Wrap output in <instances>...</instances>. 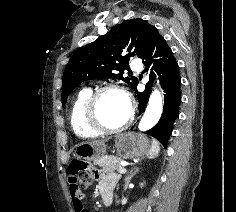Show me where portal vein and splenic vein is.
<instances>
[{
  "label": "portal vein and splenic vein",
  "mask_w": 236,
  "mask_h": 212,
  "mask_svg": "<svg viewBox=\"0 0 236 212\" xmlns=\"http://www.w3.org/2000/svg\"><path fill=\"white\" fill-rule=\"evenodd\" d=\"M126 165H127V164H122V166H126ZM126 171H127L126 168H125V167H122L121 169H119L118 172H119L120 174H124V173H126Z\"/></svg>",
  "instance_id": "portal-vein-and-splenic-vein-1"
}]
</instances>
